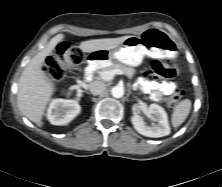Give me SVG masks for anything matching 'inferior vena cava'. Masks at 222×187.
Listing matches in <instances>:
<instances>
[{"instance_id": "602c4592", "label": "inferior vena cava", "mask_w": 222, "mask_h": 187, "mask_svg": "<svg viewBox=\"0 0 222 187\" xmlns=\"http://www.w3.org/2000/svg\"><path fill=\"white\" fill-rule=\"evenodd\" d=\"M89 89H90V92L93 95H99V94H102L105 91L106 86L101 81H93V82L90 83Z\"/></svg>"}]
</instances>
